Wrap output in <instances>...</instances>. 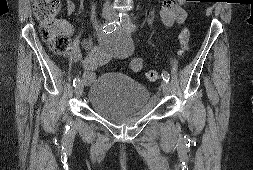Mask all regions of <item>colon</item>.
Instances as JSON below:
<instances>
[{
    "label": "colon",
    "mask_w": 253,
    "mask_h": 170,
    "mask_svg": "<svg viewBox=\"0 0 253 170\" xmlns=\"http://www.w3.org/2000/svg\"><path fill=\"white\" fill-rule=\"evenodd\" d=\"M60 8V0H33V12L39 22L42 39L49 44L55 54L65 55L70 49L71 42L67 33L59 27L56 20ZM190 37V30L183 28L179 36L182 54L188 50ZM146 77L149 81L156 82L160 80V73L150 70L147 72Z\"/></svg>",
    "instance_id": "5ec220e1"
}]
</instances>
